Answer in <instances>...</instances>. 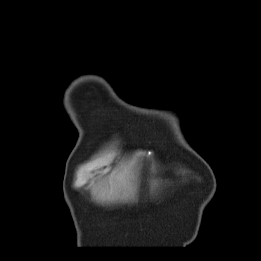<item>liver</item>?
<instances>
[{
	"label": "liver",
	"instance_id": "6515ba94",
	"mask_svg": "<svg viewBox=\"0 0 261 261\" xmlns=\"http://www.w3.org/2000/svg\"><path fill=\"white\" fill-rule=\"evenodd\" d=\"M106 198H107L108 200H110V199H111V193H107V194H106Z\"/></svg>",
	"mask_w": 261,
	"mask_h": 261
}]
</instances>
